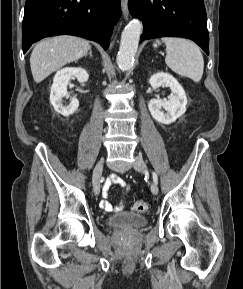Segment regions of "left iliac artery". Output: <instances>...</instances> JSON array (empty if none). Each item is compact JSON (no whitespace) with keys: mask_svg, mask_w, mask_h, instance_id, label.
<instances>
[{"mask_svg":"<svg viewBox=\"0 0 243 289\" xmlns=\"http://www.w3.org/2000/svg\"><path fill=\"white\" fill-rule=\"evenodd\" d=\"M153 180L157 184L158 183V176L155 172H152Z\"/></svg>","mask_w":243,"mask_h":289,"instance_id":"obj_1","label":"left iliac artery"}]
</instances>
